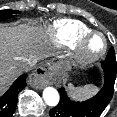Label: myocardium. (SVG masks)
Listing matches in <instances>:
<instances>
[{"instance_id":"obj_1","label":"myocardium","mask_w":117,"mask_h":117,"mask_svg":"<svg viewBox=\"0 0 117 117\" xmlns=\"http://www.w3.org/2000/svg\"><path fill=\"white\" fill-rule=\"evenodd\" d=\"M93 37H100L102 39V48L93 54L86 51L87 42ZM107 51V40L105 36L97 31H90L78 37L73 45L72 56L74 61L79 65H90L102 58Z\"/></svg>"}]
</instances>
